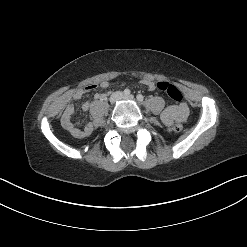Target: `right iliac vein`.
Segmentation results:
<instances>
[{
    "mask_svg": "<svg viewBox=\"0 0 247 247\" xmlns=\"http://www.w3.org/2000/svg\"><path fill=\"white\" fill-rule=\"evenodd\" d=\"M123 97V94L121 92H115L110 97L111 103H116L118 100H120Z\"/></svg>",
    "mask_w": 247,
    "mask_h": 247,
    "instance_id": "right-iliac-vein-1",
    "label": "right iliac vein"
}]
</instances>
